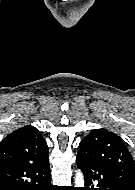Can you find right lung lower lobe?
Returning <instances> with one entry per match:
<instances>
[{
    "mask_svg": "<svg viewBox=\"0 0 135 190\" xmlns=\"http://www.w3.org/2000/svg\"><path fill=\"white\" fill-rule=\"evenodd\" d=\"M50 181L48 159L0 167V190H55Z\"/></svg>",
    "mask_w": 135,
    "mask_h": 190,
    "instance_id": "obj_1",
    "label": "right lung lower lobe"
}]
</instances>
